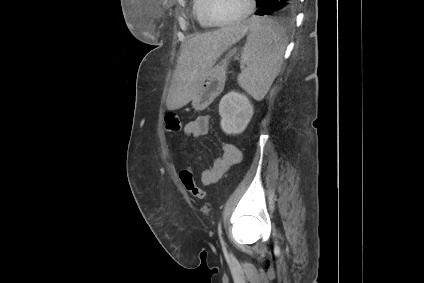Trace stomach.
I'll list each match as a JSON object with an SVG mask.
<instances>
[{"label":"stomach","instance_id":"stomach-1","mask_svg":"<svg viewBox=\"0 0 424 283\" xmlns=\"http://www.w3.org/2000/svg\"><path fill=\"white\" fill-rule=\"evenodd\" d=\"M235 52H236V49L235 48L233 50L229 51V53L227 55V58L225 60H223L221 63H219L218 65H216L213 68H211L209 70V72L206 74V76L204 77V79H203V81H202V83H201L198 91L196 92V95L192 99V105L195 108L201 109L202 104L200 102H201L202 96L205 93H207V91L211 88V86L213 85V83L218 80V74L225 72L226 66L228 64V59ZM221 80H220V82H221Z\"/></svg>","mask_w":424,"mask_h":283}]
</instances>
